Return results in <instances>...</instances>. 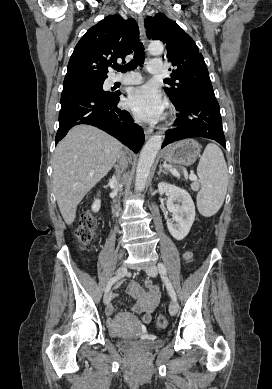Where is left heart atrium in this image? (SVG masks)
I'll return each mask as SVG.
<instances>
[{
    "mask_svg": "<svg viewBox=\"0 0 272 389\" xmlns=\"http://www.w3.org/2000/svg\"><path fill=\"white\" fill-rule=\"evenodd\" d=\"M126 104L138 118L149 122L158 120L165 109L161 93L152 85L131 90Z\"/></svg>",
    "mask_w": 272,
    "mask_h": 389,
    "instance_id": "left-heart-atrium-1",
    "label": "left heart atrium"
}]
</instances>
